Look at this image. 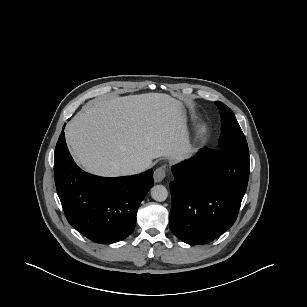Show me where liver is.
Masks as SVG:
<instances>
[{
	"label": "liver",
	"mask_w": 307,
	"mask_h": 307,
	"mask_svg": "<svg viewBox=\"0 0 307 307\" xmlns=\"http://www.w3.org/2000/svg\"><path fill=\"white\" fill-rule=\"evenodd\" d=\"M67 144L86 171L117 177L152 160L180 161L189 150L180 101L162 93L91 100L67 124Z\"/></svg>",
	"instance_id": "1"
}]
</instances>
